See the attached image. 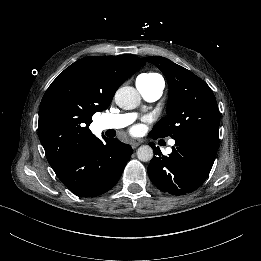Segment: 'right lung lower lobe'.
Wrapping results in <instances>:
<instances>
[{
	"mask_svg": "<svg viewBox=\"0 0 261 261\" xmlns=\"http://www.w3.org/2000/svg\"><path fill=\"white\" fill-rule=\"evenodd\" d=\"M54 169L61 182L79 197H96L109 191L119 180L132 155V148L103 137Z\"/></svg>",
	"mask_w": 261,
	"mask_h": 261,
	"instance_id": "1",
	"label": "right lung lower lobe"
}]
</instances>
